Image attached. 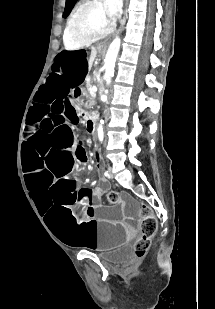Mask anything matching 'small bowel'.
Instances as JSON below:
<instances>
[{"label": "small bowel", "instance_id": "c3829d8e", "mask_svg": "<svg viewBox=\"0 0 215 309\" xmlns=\"http://www.w3.org/2000/svg\"><path fill=\"white\" fill-rule=\"evenodd\" d=\"M104 191H105L104 187L101 186L95 187L91 190V195L96 203L100 202L101 196L104 193Z\"/></svg>", "mask_w": 215, "mask_h": 309}]
</instances>
